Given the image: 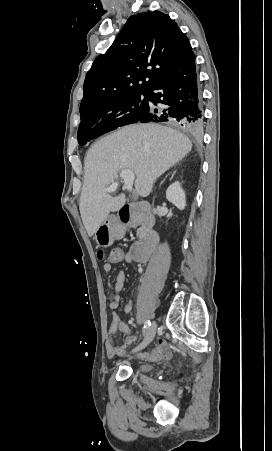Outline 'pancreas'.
I'll return each instance as SVG.
<instances>
[{
    "label": "pancreas",
    "mask_w": 272,
    "mask_h": 451,
    "mask_svg": "<svg viewBox=\"0 0 272 451\" xmlns=\"http://www.w3.org/2000/svg\"><path fill=\"white\" fill-rule=\"evenodd\" d=\"M119 229H121V231H123V233H124V227L123 226H119ZM141 231H142V227H139V229H137L138 237H141Z\"/></svg>",
    "instance_id": "cf45deb5"
}]
</instances>
